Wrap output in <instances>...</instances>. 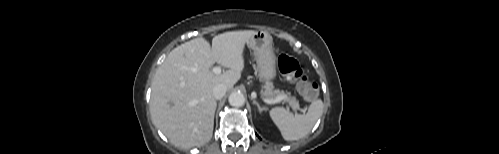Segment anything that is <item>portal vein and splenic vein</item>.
Instances as JSON below:
<instances>
[{
    "label": "portal vein and splenic vein",
    "instance_id": "1",
    "mask_svg": "<svg viewBox=\"0 0 499 154\" xmlns=\"http://www.w3.org/2000/svg\"><path fill=\"white\" fill-rule=\"evenodd\" d=\"M213 73L215 74H220L221 73V68L220 67H214L212 69ZM281 101V98H276V99H264V102L267 104H275Z\"/></svg>",
    "mask_w": 499,
    "mask_h": 154
}]
</instances>
